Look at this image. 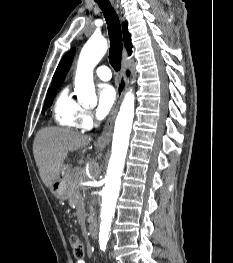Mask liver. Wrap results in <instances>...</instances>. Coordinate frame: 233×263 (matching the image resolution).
<instances>
[{
	"mask_svg": "<svg viewBox=\"0 0 233 263\" xmlns=\"http://www.w3.org/2000/svg\"><path fill=\"white\" fill-rule=\"evenodd\" d=\"M89 136L64 128H44L34 140L33 153L42 182L51 188L60 174L68 152L87 146Z\"/></svg>",
	"mask_w": 233,
	"mask_h": 263,
	"instance_id": "6515ba94",
	"label": "liver"
}]
</instances>
